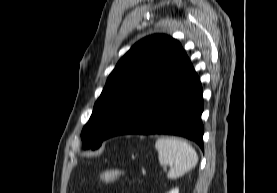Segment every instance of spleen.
Wrapping results in <instances>:
<instances>
[{
  "mask_svg": "<svg viewBox=\"0 0 277 193\" xmlns=\"http://www.w3.org/2000/svg\"><path fill=\"white\" fill-rule=\"evenodd\" d=\"M155 148L158 151L159 163L163 166L174 164L168 172V178L176 179L194 168L198 162L195 149L186 141L162 137L157 139Z\"/></svg>",
  "mask_w": 277,
  "mask_h": 193,
  "instance_id": "spleen-1",
  "label": "spleen"
}]
</instances>
